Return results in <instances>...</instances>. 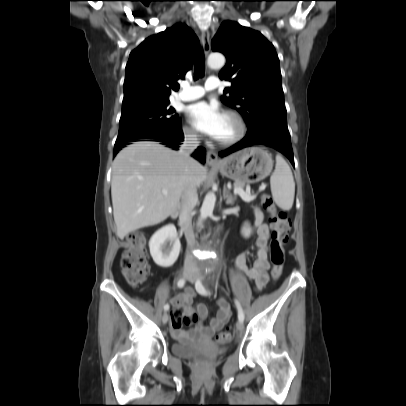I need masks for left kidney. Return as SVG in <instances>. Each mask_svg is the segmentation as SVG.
<instances>
[{
    "instance_id": "5707ae66",
    "label": "left kidney",
    "mask_w": 406,
    "mask_h": 406,
    "mask_svg": "<svg viewBox=\"0 0 406 406\" xmlns=\"http://www.w3.org/2000/svg\"><path fill=\"white\" fill-rule=\"evenodd\" d=\"M249 232H250V226L248 223H245L244 227L242 228V234L244 236H247L249 234Z\"/></svg>"
}]
</instances>
